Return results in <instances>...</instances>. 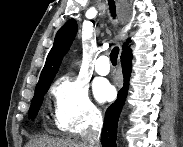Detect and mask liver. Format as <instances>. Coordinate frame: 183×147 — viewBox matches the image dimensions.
<instances>
[{
	"label": "liver",
	"mask_w": 183,
	"mask_h": 147,
	"mask_svg": "<svg viewBox=\"0 0 183 147\" xmlns=\"http://www.w3.org/2000/svg\"><path fill=\"white\" fill-rule=\"evenodd\" d=\"M27 147H86L83 142L72 139H54L43 137L27 144Z\"/></svg>",
	"instance_id": "liver-1"
}]
</instances>
